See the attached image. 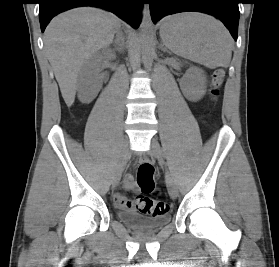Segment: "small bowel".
<instances>
[{
  "label": "small bowel",
  "mask_w": 279,
  "mask_h": 267,
  "mask_svg": "<svg viewBox=\"0 0 279 267\" xmlns=\"http://www.w3.org/2000/svg\"><path fill=\"white\" fill-rule=\"evenodd\" d=\"M125 186L129 190H135L136 185L133 182V179L130 175L126 177ZM114 205L123 210H131L135 207V202L129 199H126L123 195L116 193L113 196Z\"/></svg>",
  "instance_id": "1"
}]
</instances>
